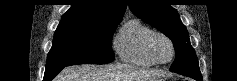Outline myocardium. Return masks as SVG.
Listing matches in <instances>:
<instances>
[{
    "label": "myocardium",
    "mask_w": 237,
    "mask_h": 81,
    "mask_svg": "<svg viewBox=\"0 0 237 81\" xmlns=\"http://www.w3.org/2000/svg\"><path fill=\"white\" fill-rule=\"evenodd\" d=\"M159 38H162V39L166 40L169 43L170 47H171V56L166 61L159 60L158 57H157L156 51H155V43H156L157 39H159ZM148 51H149L151 57L153 58V60L157 64H160V65L169 64L174 59V56H175V46H174L173 41L167 35H165L161 32H153L151 34V36L148 39Z\"/></svg>",
    "instance_id": "1"
}]
</instances>
